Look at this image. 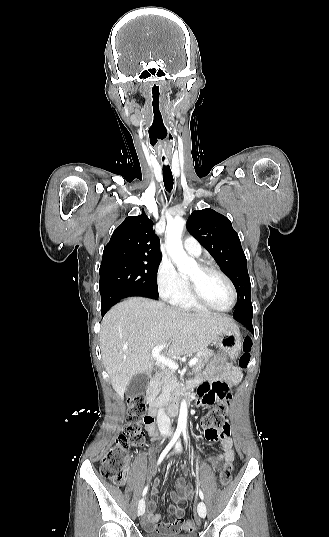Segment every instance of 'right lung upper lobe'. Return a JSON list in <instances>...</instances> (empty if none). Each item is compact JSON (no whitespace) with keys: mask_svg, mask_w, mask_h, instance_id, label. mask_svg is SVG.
<instances>
[{"mask_svg":"<svg viewBox=\"0 0 329 537\" xmlns=\"http://www.w3.org/2000/svg\"><path fill=\"white\" fill-rule=\"evenodd\" d=\"M152 226L145 214L127 217L104 247L101 265L161 259L160 240Z\"/></svg>","mask_w":329,"mask_h":537,"instance_id":"obj_1","label":"right lung upper lobe"}]
</instances>
